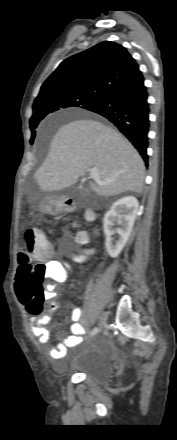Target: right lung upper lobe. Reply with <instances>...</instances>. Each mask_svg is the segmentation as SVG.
Instances as JSON below:
<instances>
[{"mask_svg":"<svg viewBox=\"0 0 177 440\" xmlns=\"http://www.w3.org/2000/svg\"><path fill=\"white\" fill-rule=\"evenodd\" d=\"M140 73L122 45L104 41L64 60L43 83L34 107L67 92L103 96Z\"/></svg>","mask_w":177,"mask_h":440,"instance_id":"1","label":"right lung upper lobe"}]
</instances>
